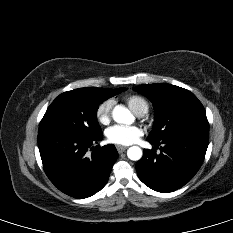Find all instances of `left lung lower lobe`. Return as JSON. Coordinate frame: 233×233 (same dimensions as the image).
<instances>
[{
  "label": "left lung lower lobe",
  "instance_id": "left-lung-lower-lobe-1",
  "mask_svg": "<svg viewBox=\"0 0 233 233\" xmlns=\"http://www.w3.org/2000/svg\"><path fill=\"white\" fill-rule=\"evenodd\" d=\"M160 154L145 149L137 162L139 179L149 188L168 193L188 183L201 167L209 143V135L182 134L161 141L147 139Z\"/></svg>",
  "mask_w": 233,
  "mask_h": 233
}]
</instances>
